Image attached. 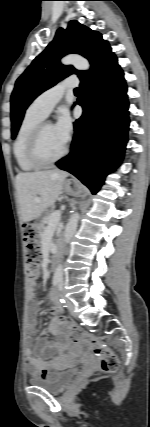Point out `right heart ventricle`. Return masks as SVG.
<instances>
[{"label": "right heart ventricle", "instance_id": "1", "mask_svg": "<svg viewBox=\"0 0 150 427\" xmlns=\"http://www.w3.org/2000/svg\"><path fill=\"white\" fill-rule=\"evenodd\" d=\"M44 117L29 107L20 123L13 144V153L19 168L30 172L39 167L32 164L27 155L28 143L34 129L43 121Z\"/></svg>", "mask_w": 150, "mask_h": 427}]
</instances>
